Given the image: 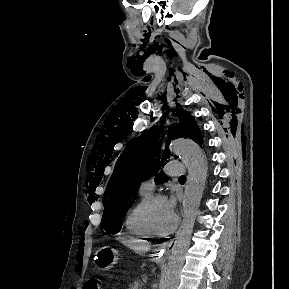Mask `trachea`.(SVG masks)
Segmentation results:
<instances>
[{
	"label": "trachea",
	"instance_id": "trachea-1",
	"mask_svg": "<svg viewBox=\"0 0 289 289\" xmlns=\"http://www.w3.org/2000/svg\"><path fill=\"white\" fill-rule=\"evenodd\" d=\"M179 179H182V180H183V179H186V177H185V176H181Z\"/></svg>",
	"mask_w": 289,
	"mask_h": 289
}]
</instances>
